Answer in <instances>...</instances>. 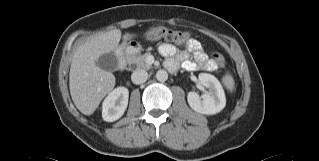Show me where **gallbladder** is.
I'll use <instances>...</instances> for the list:
<instances>
[{"mask_svg":"<svg viewBox=\"0 0 319 161\" xmlns=\"http://www.w3.org/2000/svg\"><path fill=\"white\" fill-rule=\"evenodd\" d=\"M96 65L104 71L111 72L117 68L118 59L113 52L105 53L98 58Z\"/></svg>","mask_w":319,"mask_h":161,"instance_id":"obj_1","label":"gallbladder"}]
</instances>
